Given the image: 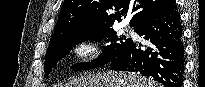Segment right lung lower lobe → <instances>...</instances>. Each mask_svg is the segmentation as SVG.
I'll use <instances>...</instances> for the list:
<instances>
[{"label":"right lung lower lobe","instance_id":"1","mask_svg":"<svg viewBox=\"0 0 205 87\" xmlns=\"http://www.w3.org/2000/svg\"><path fill=\"white\" fill-rule=\"evenodd\" d=\"M134 31L150 44L132 39L109 61L112 70L140 72L166 87H182L185 67L183 29L176 2L148 16Z\"/></svg>","mask_w":205,"mask_h":87}]
</instances>
